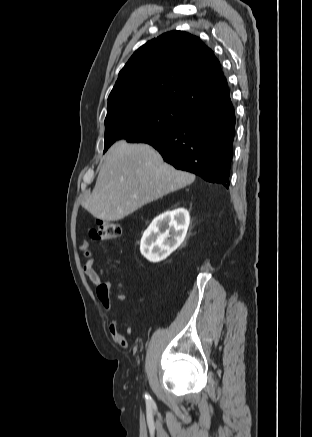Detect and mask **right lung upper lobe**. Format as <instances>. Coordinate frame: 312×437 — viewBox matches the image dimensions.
Instances as JSON below:
<instances>
[{
    "instance_id": "cb5924a9",
    "label": "right lung upper lobe",
    "mask_w": 312,
    "mask_h": 437,
    "mask_svg": "<svg viewBox=\"0 0 312 437\" xmlns=\"http://www.w3.org/2000/svg\"><path fill=\"white\" fill-rule=\"evenodd\" d=\"M227 89L212 50L196 36L172 31L148 41L132 55L108 97L107 113L142 102L168 103L192 111Z\"/></svg>"
}]
</instances>
